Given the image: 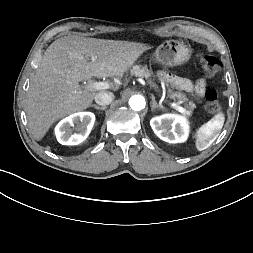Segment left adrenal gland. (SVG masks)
<instances>
[{"instance_id": "a2214340", "label": "left adrenal gland", "mask_w": 253, "mask_h": 253, "mask_svg": "<svg viewBox=\"0 0 253 253\" xmlns=\"http://www.w3.org/2000/svg\"><path fill=\"white\" fill-rule=\"evenodd\" d=\"M151 111L154 112L155 109L160 108V106L157 104L154 95L151 96Z\"/></svg>"}]
</instances>
